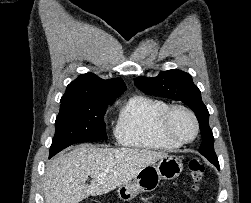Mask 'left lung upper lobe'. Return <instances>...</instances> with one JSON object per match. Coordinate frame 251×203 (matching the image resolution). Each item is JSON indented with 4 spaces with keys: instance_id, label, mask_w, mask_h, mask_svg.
<instances>
[{
    "instance_id": "5c2ea615",
    "label": "left lung upper lobe",
    "mask_w": 251,
    "mask_h": 203,
    "mask_svg": "<svg viewBox=\"0 0 251 203\" xmlns=\"http://www.w3.org/2000/svg\"><path fill=\"white\" fill-rule=\"evenodd\" d=\"M134 83L146 94L182 101L193 110L199 121L202 135L199 152L216 167L219 165L214 151V137L208 123L209 112L202 102L200 90L193 83L190 74L172 69L163 71L153 78L137 77Z\"/></svg>"
}]
</instances>
